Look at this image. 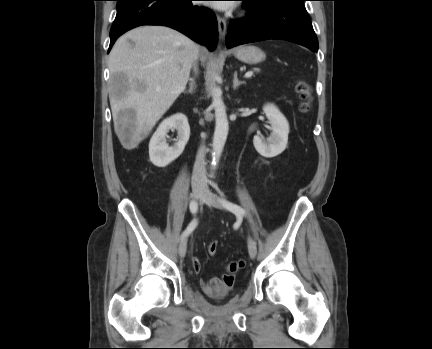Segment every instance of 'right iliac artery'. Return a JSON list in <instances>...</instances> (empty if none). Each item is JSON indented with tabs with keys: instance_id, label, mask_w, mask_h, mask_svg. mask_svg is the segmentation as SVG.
Masks as SVG:
<instances>
[{
	"instance_id": "obj_1",
	"label": "right iliac artery",
	"mask_w": 432,
	"mask_h": 349,
	"mask_svg": "<svg viewBox=\"0 0 432 349\" xmlns=\"http://www.w3.org/2000/svg\"><path fill=\"white\" fill-rule=\"evenodd\" d=\"M189 208H190L191 213L194 215V217L192 218L193 221L188 225V227L183 232V234L181 236L182 238L188 236L195 229V227H196V221L195 220L197 218L195 217V215L197 214L196 212H197V209H198L197 202L196 201H191L190 205H189Z\"/></svg>"
}]
</instances>
